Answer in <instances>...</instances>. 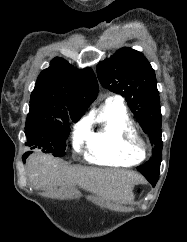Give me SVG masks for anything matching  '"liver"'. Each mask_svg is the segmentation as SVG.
I'll return each instance as SVG.
<instances>
[{"instance_id": "6515ba94", "label": "liver", "mask_w": 187, "mask_h": 242, "mask_svg": "<svg viewBox=\"0 0 187 242\" xmlns=\"http://www.w3.org/2000/svg\"><path fill=\"white\" fill-rule=\"evenodd\" d=\"M29 182L36 188L79 185L105 199L129 203L132 189L140 179L132 171L66 165L51 155L32 154L27 160Z\"/></svg>"}]
</instances>
